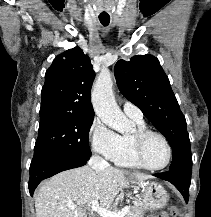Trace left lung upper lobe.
Masks as SVG:
<instances>
[{
  "mask_svg": "<svg viewBox=\"0 0 211 217\" xmlns=\"http://www.w3.org/2000/svg\"><path fill=\"white\" fill-rule=\"evenodd\" d=\"M114 73L121 93L166 137L173 151L169 170L192 172L186 120L158 59L137 55L119 60Z\"/></svg>",
  "mask_w": 211,
  "mask_h": 217,
  "instance_id": "5c2ea615",
  "label": "left lung upper lobe"
}]
</instances>
